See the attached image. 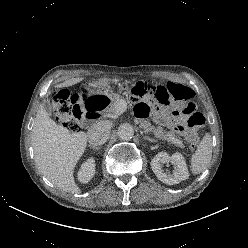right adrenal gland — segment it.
Returning <instances> with one entry per match:
<instances>
[{
  "label": "right adrenal gland",
  "mask_w": 248,
  "mask_h": 248,
  "mask_svg": "<svg viewBox=\"0 0 248 248\" xmlns=\"http://www.w3.org/2000/svg\"><path fill=\"white\" fill-rule=\"evenodd\" d=\"M89 147L92 149V150H100V147H96V146H91V145H89Z\"/></svg>",
  "instance_id": "1"
}]
</instances>
